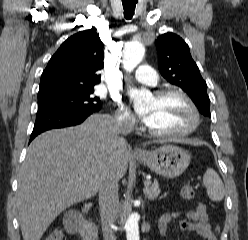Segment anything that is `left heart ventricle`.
<instances>
[{
    "label": "left heart ventricle",
    "mask_w": 248,
    "mask_h": 240,
    "mask_svg": "<svg viewBox=\"0 0 248 240\" xmlns=\"http://www.w3.org/2000/svg\"><path fill=\"white\" fill-rule=\"evenodd\" d=\"M144 112L151 116L147 126L158 132H177L186 129L193 121L187 103L178 95L153 97Z\"/></svg>",
    "instance_id": "left-heart-ventricle-1"
}]
</instances>
